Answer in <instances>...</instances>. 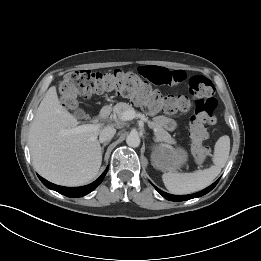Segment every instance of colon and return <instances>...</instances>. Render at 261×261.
I'll return each mask as SVG.
<instances>
[{
    "label": "colon",
    "instance_id": "colon-1",
    "mask_svg": "<svg viewBox=\"0 0 261 261\" xmlns=\"http://www.w3.org/2000/svg\"><path fill=\"white\" fill-rule=\"evenodd\" d=\"M188 87L190 97L163 95L132 71L77 70L63 77L59 84V94L62 105L71 110L77 107L79 97L90 98L108 92L128 97L149 112L173 114L193 106L190 136L194 157L202 161L210 155V149L203 144L207 136L206 126L216 123L214 85L207 77L195 75L189 79Z\"/></svg>",
    "mask_w": 261,
    "mask_h": 261
}]
</instances>
